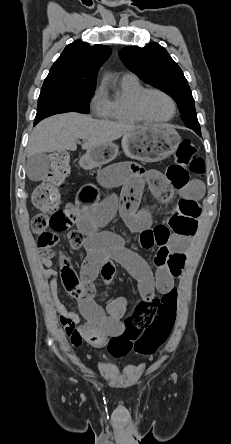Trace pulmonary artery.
<instances>
[{"label":"pulmonary artery","mask_w":231,"mask_h":444,"mask_svg":"<svg viewBox=\"0 0 231 444\" xmlns=\"http://www.w3.org/2000/svg\"><path fill=\"white\" fill-rule=\"evenodd\" d=\"M123 77H135L133 74H125Z\"/></svg>","instance_id":"1"}]
</instances>
